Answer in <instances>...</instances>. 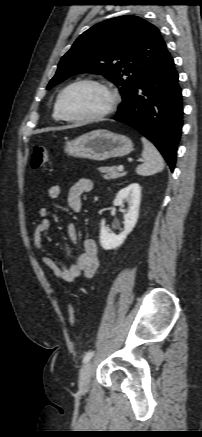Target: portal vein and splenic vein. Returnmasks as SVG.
<instances>
[{
  "label": "portal vein and splenic vein",
  "mask_w": 202,
  "mask_h": 437,
  "mask_svg": "<svg viewBox=\"0 0 202 437\" xmlns=\"http://www.w3.org/2000/svg\"><path fill=\"white\" fill-rule=\"evenodd\" d=\"M124 167L122 165L118 166V171H123Z\"/></svg>",
  "instance_id": "portal-vein-and-splenic-vein-1"
}]
</instances>
